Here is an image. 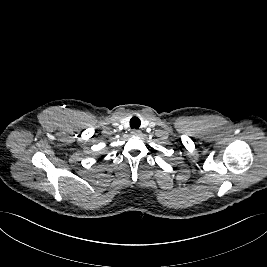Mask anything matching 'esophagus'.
Returning <instances> with one entry per match:
<instances>
[{"instance_id":"34e87169","label":"esophagus","mask_w":267,"mask_h":267,"mask_svg":"<svg viewBox=\"0 0 267 267\" xmlns=\"http://www.w3.org/2000/svg\"><path fill=\"white\" fill-rule=\"evenodd\" d=\"M131 134H132V135H140V134H141V131L138 130V129H133V130L131 131Z\"/></svg>"}]
</instances>
